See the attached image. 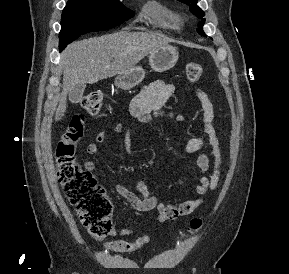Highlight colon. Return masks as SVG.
Returning <instances> with one entry per match:
<instances>
[{
	"label": "colon",
	"instance_id": "1",
	"mask_svg": "<svg viewBox=\"0 0 289 274\" xmlns=\"http://www.w3.org/2000/svg\"><path fill=\"white\" fill-rule=\"evenodd\" d=\"M203 69L199 63L186 66V78L197 82ZM82 107L92 115L101 112L103 97L100 92H91L81 100ZM85 133L83 116L75 115L61 136L55 150L57 175L64 194L80 218L88 233L96 239L104 238L112 232L111 217L113 204L96 178L84 170L76 159V148ZM202 226V219L193 218L188 232L194 233Z\"/></svg>",
	"mask_w": 289,
	"mask_h": 274
}]
</instances>
